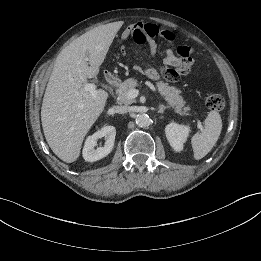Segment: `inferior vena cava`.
I'll return each mask as SVG.
<instances>
[{"instance_id":"602c4592","label":"inferior vena cava","mask_w":261,"mask_h":261,"mask_svg":"<svg viewBox=\"0 0 261 261\" xmlns=\"http://www.w3.org/2000/svg\"><path fill=\"white\" fill-rule=\"evenodd\" d=\"M129 111H130L129 106H123V105L114 106V112H116V113L124 114V113H127Z\"/></svg>"}]
</instances>
